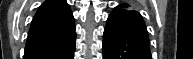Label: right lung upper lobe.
<instances>
[{"instance_id":"right-lung-upper-lobe-1","label":"right lung upper lobe","mask_w":193,"mask_h":59,"mask_svg":"<svg viewBox=\"0 0 193 59\" xmlns=\"http://www.w3.org/2000/svg\"><path fill=\"white\" fill-rule=\"evenodd\" d=\"M74 31V18L66 1L46 0L34 16L25 49L53 45Z\"/></svg>"}]
</instances>
